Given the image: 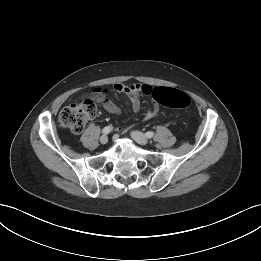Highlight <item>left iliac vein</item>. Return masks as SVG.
<instances>
[{
	"instance_id": "4c4485c4",
	"label": "left iliac vein",
	"mask_w": 261,
	"mask_h": 261,
	"mask_svg": "<svg viewBox=\"0 0 261 261\" xmlns=\"http://www.w3.org/2000/svg\"><path fill=\"white\" fill-rule=\"evenodd\" d=\"M131 137L140 145H147L149 142L148 138L139 131H132Z\"/></svg>"
}]
</instances>
